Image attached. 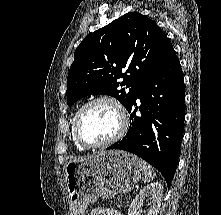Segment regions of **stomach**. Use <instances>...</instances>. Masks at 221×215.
I'll use <instances>...</instances> for the list:
<instances>
[{
  "label": "stomach",
  "instance_id": "stomach-1",
  "mask_svg": "<svg viewBox=\"0 0 221 215\" xmlns=\"http://www.w3.org/2000/svg\"><path fill=\"white\" fill-rule=\"evenodd\" d=\"M142 176V161L122 150L103 151L68 162L65 183L70 215H85L98 198L110 199L131 191Z\"/></svg>",
  "mask_w": 221,
  "mask_h": 215
}]
</instances>
